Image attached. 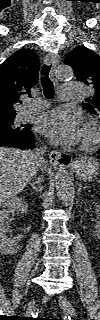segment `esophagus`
<instances>
[{"mask_svg":"<svg viewBox=\"0 0 100 320\" xmlns=\"http://www.w3.org/2000/svg\"><path fill=\"white\" fill-rule=\"evenodd\" d=\"M59 62V56L54 53H49L44 59V63L52 65L51 76L54 77V69ZM49 161L54 167H66L72 162V157L68 154H62L57 150H52L49 153Z\"/></svg>","mask_w":100,"mask_h":320,"instance_id":"obj_1","label":"esophagus"}]
</instances>
